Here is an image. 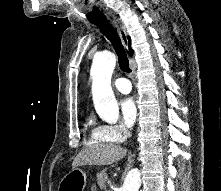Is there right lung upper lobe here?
I'll return each instance as SVG.
<instances>
[{
  "instance_id": "cb5924a9",
  "label": "right lung upper lobe",
  "mask_w": 221,
  "mask_h": 191,
  "mask_svg": "<svg viewBox=\"0 0 221 191\" xmlns=\"http://www.w3.org/2000/svg\"><path fill=\"white\" fill-rule=\"evenodd\" d=\"M128 40H129V54L132 55L133 54V50L130 47V43H131L130 37H128Z\"/></svg>"
}]
</instances>
